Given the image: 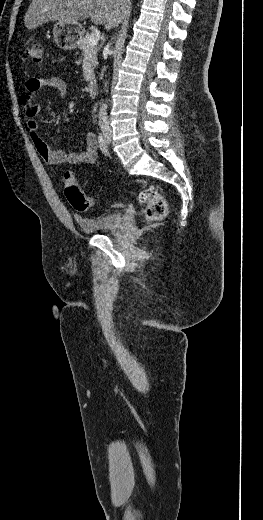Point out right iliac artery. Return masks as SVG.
Wrapping results in <instances>:
<instances>
[{"mask_svg": "<svg viewBox=\"0 0 263 520\" xmlns=\"http://www.w3.org/2000/svg\"><path fill=\"white\" fill-rule=\"evenodd\" d=\"M98 143H99V147H100V150L102 151V153L107 155L108 149H107L106 141L101 133H99V136H98Z\"/></svg>", "mask_w": 263, "mask_h": 520, "instance_id": "82829eb1", "label": "right iliac artery"}]
</instances>
